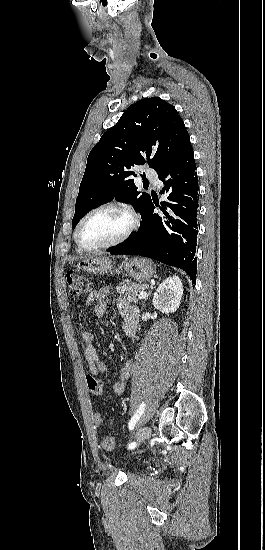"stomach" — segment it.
Wrapping results in <instances>:
<instances>
[{"label": "stomach", "instance_id": "0dacf381", "mask_svg": "<svg viewBox=\"0 0 265 550\" xmlns=\"http://www.w3.org/2000/svg\"><path fill=\"white\" fill-rule=\"evenodd\" d=\"M122 266L126 273L137 281H146L155 274L153 263L144 258L125 259ZM77 267L88 273L105 274L111 271L113 265L108 257L95 254L79 260Z\"/></svg>", "mask_w": 265, "mask_h": 550}]
</instances>
